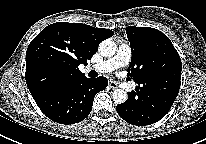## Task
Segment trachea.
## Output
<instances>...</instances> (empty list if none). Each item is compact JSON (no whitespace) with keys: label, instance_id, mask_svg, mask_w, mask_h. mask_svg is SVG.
<instances>
[{"label":"trachea","instance_id":"obj_1","mask_svg":"<svg viewBox=\"0 0 206 144\" xmlns=\"http://www.w3.org/2000/svg\"><path fill=\"white\" fill-rule=\"evenodd\" d=\"M89 76L94 78V77H97L98 76V73L96 71H90L89 72Z\"/></svg>","mask_w":206,"mask_h":144}]
</instances>
